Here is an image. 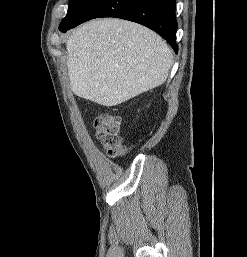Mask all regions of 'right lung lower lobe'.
<instances>
[{"label": "right lung lower lobe", "instance_id": "1", "mask_svg": "<svg viewBox=\"0 0 247 257\" xmlns=\"http://www.w3.org/2000/svg\"><path fill=\"white\" fill-rule=\"evenodd\" d=\"M176 0H93L73 22L59 27L61 32L98 17H116L142 24L161 35L177 53Z\"/></svg>", "mask_w": 247, "mask_h": 257}]
</instances>
